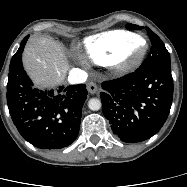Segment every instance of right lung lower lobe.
Here are the masks:
<instances>
[{"instance_id":"obj_1","label":"right lung lower lobe","mask_w":187,"mask_h":187,"mask_svg":"<svg viewBox=\"0 0 187 187\" xmlns=\"http://www.w3.org/2000/svg\"><path fill=\"white\" fill-rule=\"evenodd\" d=\"M26 36L13 55L7 83V104L13 123L22 137L41 149L70 145L79 132L82 107L87 98L85 84L39 90L22 66Z\"/></svg>"}]
</instances>
